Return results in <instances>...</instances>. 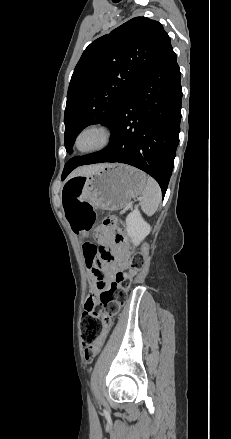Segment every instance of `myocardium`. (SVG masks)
I'll return each instance as SVG.
<instances>
[{"mask_svg": "<svg viewBox=\"0 0 231 439\" xmlns=\"http://www.w3.org/2000/svg\"><path fill=\"white\" fill-rule=\"evenodd\" d=\"M86 135H94L97 141L94 145L85 147L82 145V139ZM113 141L112 129L103 122H90L83 125L75 134L73 147L83 155H89L101 152L108 148Z\"/></svg>", "mask_w": 231, "mask_h": 439, "instance_id": "1", "label": "myocardium"}]
</instances>
